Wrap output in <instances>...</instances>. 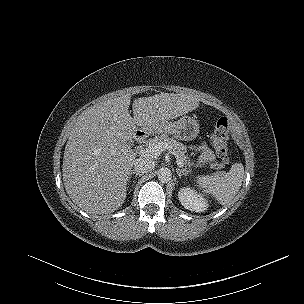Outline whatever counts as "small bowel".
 <instances>
[{"label":"small bowel","mask_w":304,"mask_h":304,"mask_svg":"<svg viewBox=\"0 0 304 304\" xmlns=\"http://www.w3.org/2000/svg\"><path fill=\"white\" fill-rule=\"evenodd\" d=\"M198 162L205 164L210 162L213 159V154L210 149H208L205 145H201L198 147Z\"/></svg>","instance_id":"obj_1"}]
</instances>
